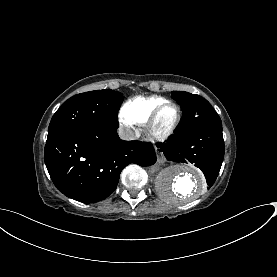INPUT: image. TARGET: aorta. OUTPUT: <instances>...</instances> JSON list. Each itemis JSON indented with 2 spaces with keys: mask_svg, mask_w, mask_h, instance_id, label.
I'll list each match as a JSON object with an SVG mask.
<instances>
[{
  "mask_svg": "<svg viewBox=\"0 0 277 277\" xmlns=\"http://www.w3.org/2000/svg\"><path fill=\"white\" fill-rule=\"evenodd\" d=\"M156 187L164 200L176 205L197 199L205 192L206 183L197 169L171 164L157 176Z\"/></svg>",
  "mask_w": 277,
  "mask_h": 277,
  "instance_id": "1",
  "label": "aorta"
}]
</instances>
